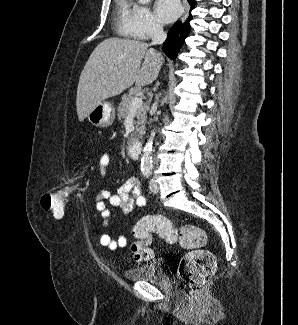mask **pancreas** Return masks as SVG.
Here are the masks:
<instances>
[{
	"label": "pancreas",
	"instance_id": "1",
	"mask_svg": "<svg viewBox=\"0 0 298 325\" xmlns=\"http://www.w3.org/2000/svg\"><path fill=\"white\" fill-rule=\"evenodd\" d=\"M141 92L140 88H130L129 92H125L122 96V100L119 102V106H117L118 110V120H122V118H126L127 114H129V104H131L132 98H134L133 94H138ZM150 106L148 102H143L142 106H139L135 112V116L137 120H135V132H131L130 136H128V144L131 142L132 138H138L141 134H145V122L147 120V110H149Z\"/></svg>",
	"mask_w": 298,
	"mask_h": 325
}]
</instances>
